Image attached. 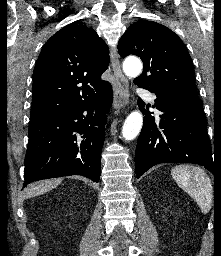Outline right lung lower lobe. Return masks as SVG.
<instances>
[{"label":"right lung lower lobe","mask_w":221,"mask_h":256,"mask_svg":"<svg viewBox=\"0 0 221 256\" xmlns=\"http://www.w3.org/2000/svg\"><path fill=\"white\" fill-rule=\"evenodd\" d=\"M112 101L110 86L91 99L30 121L24 186L70 175L99 182L106 113Z\"/></svg>","instance_id":"1"}]
</instances>
